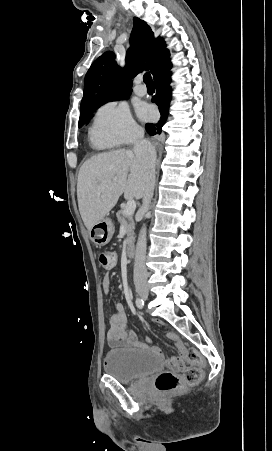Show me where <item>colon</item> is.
<instances>
[{"label": "colon", "instance_id": "obj_1", "mask_svg": "<svg viewBox=\"0 0 272 451\" xmlns=\"http://www.w3.org/2000/svg\"><path fill=\"white\" fill-rule=\"evenodd\" d=\"M102 268L116 263V255L109 251H101L98 255ZM171 370L162 371L155 379L154 386L160 392H172L183 386H192L203 372V358H197L193 349L182 351L172 360Z\"/></svg>", "mask_w": 272, "mask_h": 451}]
</instances>
